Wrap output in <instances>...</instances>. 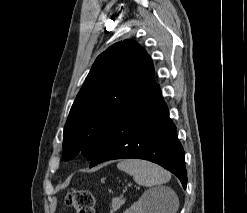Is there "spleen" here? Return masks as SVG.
Listing matches in <instances>:
<instances>
[{"instance_id": "3e777b00", "label": "spleen", "mask_w": 247, "mask_h": 213, "mask_svg": "<svg viewBox=\"0 0 247 213\" xmlns=\"http://www.w3.org/2000/svg\"><path fill=\"white\" fill-rule=\"evenodd\" d=\"M117 168L123 172L130 174L135 182L139 185L152 187L168 182L171 174L161 168L145 160L128 159L117 164ZM178 208V200L175 199V207L173 213Z\"/></svg>"}]
</instances>
